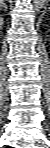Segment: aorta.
<instances>
[{
  "instance_id": "obj_1",
  "label": "aorta",
  "mask_w": 50,
  "mask_h": 148,
  "mask_svg": "<svg viewBox=\"0 0 50 148\" xmlns=\"http://www.w3.org/2000/svg\"><path fill=\"white\" fill-rule=\"evenodd\" d=\"M35 4L39 7H42L44 4V0H34Z\"/></svg>"
}]
</instances>
